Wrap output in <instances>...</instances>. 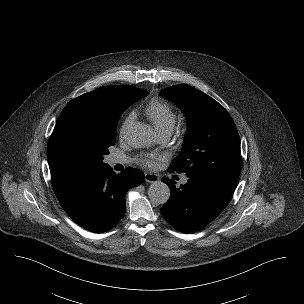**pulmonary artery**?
Masks as SVG:
<instances>
[{
	"mask_svg": "<svg viewBox=\"0 0 304 304\" xmlns=\"http://www.w3.org/2000/svg\"><path fill=\"white\" fill-rule=\"evenodd\" d=\"M170 132H167V131H164V132H158V140L160 142H165L166 140H168V138L170 137ZM128 160L125 156H122V155H113L111 158H110V163L112 165H116V164H124V163H127ZM188 181V178L187 177H183L182 180H181V183L182 184H186Z\"/></svg>",
	"mask_w": 304,
	"mask_h": 304,
	"instance_id": "1",
	"label": "pulmonary artery"
}]
</instances>
